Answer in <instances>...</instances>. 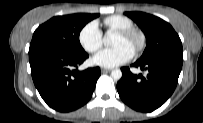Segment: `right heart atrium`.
Here are the masks:
<instances>
[{"label":"right heart atrium","mask_w":203,"mask_h":123,"mask_svg":"<svg viewBox=\"0 0 203 123\" xmlns=\"http://www.w3.org/2000/svg\"><path fill=\"white\" fill-rule=\"evenodd\" d=\"M82 48L89 52H97L103 45L102 32L97 22L87 23L80 31L78 36Z\"/></svg>","instance_id":"obj_1"}]
</instances>
